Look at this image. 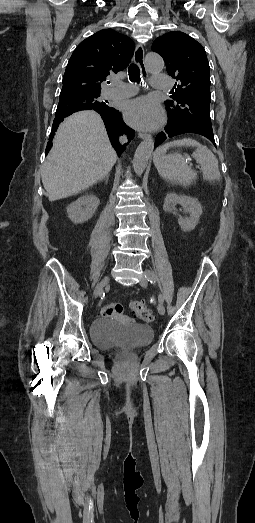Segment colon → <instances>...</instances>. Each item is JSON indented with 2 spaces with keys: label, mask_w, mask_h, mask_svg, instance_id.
<instances>
[{
  "label": "colon",
  "mask_w": 255,
  "mask_h": 523,
  "mask_svg": "<svg viewBox=\"0 0 255 523\" xmlns=\"http://www.w3.org/2000/svg\"><path fill=\"white\" fill-rule=\"evenodd\" d=\"M130 308L134 315L144 322H151L154 320V315L147 309L145 303L140 300H135L130 303ZM123 311V306L120 303H109L106 305L101 314L104 316L119 315Z\"/></svg>",
  "instance_id": "1"
}]
</instances>
